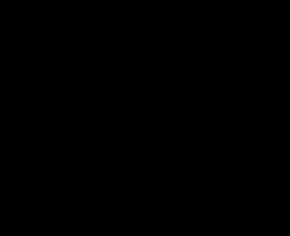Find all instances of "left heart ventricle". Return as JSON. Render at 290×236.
<instances>
[{"mask_svg":"<svg viewBox=\"0 0 290 236\" xmlns=\"http://www.w3.org/2000/svg\"><path fill=\"white\" fill-rule=\"evenodd\" d=\"M196 85L195 73L192 70H185L173 86L157 97L156 103L168 112L182 110L192 100Z\"/></svg>","mask_w":290,"mask_h":236,"instance_id":"b2bd125f","label":"left heart ventricle"}]
</instances>
